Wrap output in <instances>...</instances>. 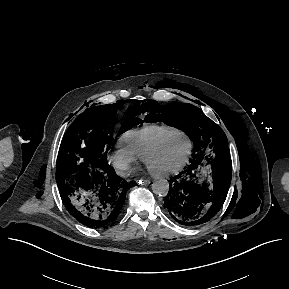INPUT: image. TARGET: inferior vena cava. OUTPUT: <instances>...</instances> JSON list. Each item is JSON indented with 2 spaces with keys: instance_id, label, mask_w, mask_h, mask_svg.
I'll use <instances>...</instances> for the list:
<instances>
[{
  "instance_id": "inferior-vena-cava-1",
  "label": "inferior vena cava",
  "mask_w": 289,
  "mask_h": 289,
  "mask_svg": "<svg viewBox=\"0 0 289 289\" xmlns=\"http://www.w3.org/2000/svg\"><path fill=\"white\" fill-rule=\"evenodd\" d=\"M119 174H120V175H125L126 173L123 172V171H119Z\"/></svg>"
}]
</instances>
